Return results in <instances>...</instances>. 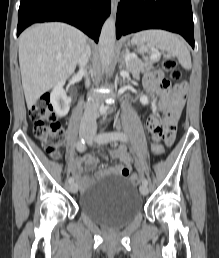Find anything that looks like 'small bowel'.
Wrapping results in <instances>:
<instances>
[{"label": "small bowel", "mask_w": 219, "mask_h": 258, "mask_svg": "<svg viewBox=\"0 0 219 258\" xmlns=\"http://www.w3.org/2000/svg\"><path fill=\"white\" fill-rule=\"evenodd\" d=\"M145 86L152 92L157 93L164 103L165 119L158 122L157 118H146L145 127H148L149 134H154L156 141L164 140L171 146L175 138V129L180 116V112L185 102V87L174 86L163 79L162 73L157 70L149 71L145 77ZM154 117H159V112L153 113ZM161 121V120H160ZM111 162H117V166L106 170L116 171L119 176L125 178L132 171V157L121 145L111 153ZM120 159L121 162H118ZM72 174L77 179L82 190L89 187L91 179L83 174L84 169H94L98 164V159L92 155H85L82 158L72 159Z\"/></svg>", "instance_id": "small-bowel-1"}]
</instances>
